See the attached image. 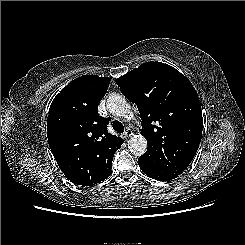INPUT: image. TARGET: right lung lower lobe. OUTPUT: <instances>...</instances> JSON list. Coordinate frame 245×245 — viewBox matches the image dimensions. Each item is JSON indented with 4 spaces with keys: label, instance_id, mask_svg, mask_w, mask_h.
Instances as JSON below:
<instances>
[{
    "label": "right lung lower lobe",
    "instance_id": "1",
    "mask_svg": "<svg viewBox=\"0 0 245 245\" xmlns=\"http://www.w3.org/2000/svg\"><path fill=\"white\" fill-rule=\"evenodd\" d=\"M113 153H107V152H98L96 159H95V164H96V169L97 171L101 174V179L102 181L109 177L112 173L111 169V163H112V158H113ZM60 169L64 173V175L73 183L79 184V179L78 175L76 172V169L72 166L70 167H61Z\"/></svg>",
    "mask_w": 245,
    "mask_h": 245
}]
</instances>
